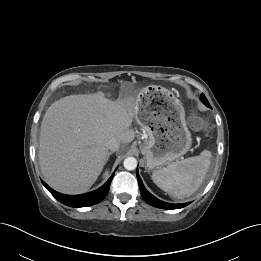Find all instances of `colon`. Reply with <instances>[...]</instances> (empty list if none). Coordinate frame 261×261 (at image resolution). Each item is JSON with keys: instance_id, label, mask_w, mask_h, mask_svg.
<instances>
[{"instance_id": "1", "label": "colon", "mask_w": 261, "mask_h": 261, "mask_svg": "<svg viewBox=\"0 0 261 261\" xmlns=\"http://www.w3.org/2000/svg\"><path fill=\"white\" fill-rule=\"evenodd\" d=\"M189 125L194 130H201L205 126V121H204V119L202 117H200L199 115L193 113L189 117Z\"/></svg>"}]
</instances>
